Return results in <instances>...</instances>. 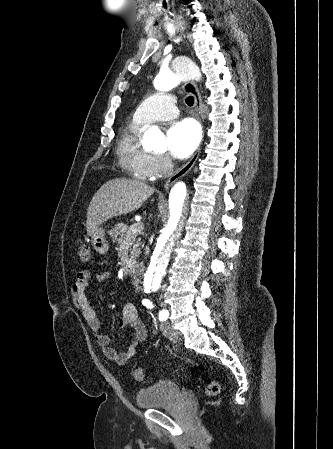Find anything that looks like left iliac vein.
I'll list each match as a JSON object with an SVG mask.
<instances>
[{
	"label": "left iliac vein",
	"instance_id": "left-iliac-vein-1",
	"mask_svg": "<svg viewBox=\"0 0 333 449\" xmlns=\"http://www.w3.org/2000/svg\"><path fill=\"white\" fill-rule=\"evenodd\" d=\"M162 334L170 340H175L177 338L176 332L170 323H163L160 327Z\"/></svg>",
	"mask_w": 333,
	"mask_h": 449
}]
</instances>
